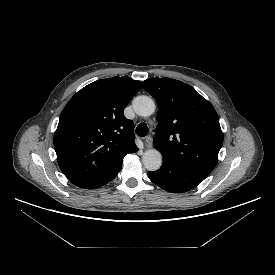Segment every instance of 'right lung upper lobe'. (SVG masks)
<instances>
[{
    "mask_svg": "<svg viewBox=\"0 0 275 275\" xmlns=\"http://www.w3.org/2000/svg\"><path fill=\"white\" fill-rule=\"evenodd\" d=\"M142 83L129 77L95 81L78 91L65 106L54 134L58 164L80 188L101 181L122 166L138 147L134 123L124 108Z\"/></svg>",
    "mask_w": 275,
    "mask_h": 275,
    "instance_id": "right-lung-upper-lobe-1",
    "label": "right lung upper lobe"
}]
</instances>
